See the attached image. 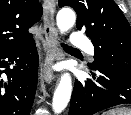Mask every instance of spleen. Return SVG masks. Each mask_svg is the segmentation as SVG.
I'll list each match as a JSON object with an SVG mask.
<instances>
[{
	"label": "spleen",
	"mask_w": 131,
	"mask_h": 115,
	"mask_svg": "<svg viewBox=\"0 0 131 115\" xmlns=\"http://www.w3.org/2000/svg\"><path fill=\"white\" fill-rule=\"evenodd\" d=\"M103 115H131V110L118 108V109L109 110L103 113Z\"/></svg>",
	"instance_id": "spleen-1"
}]
</instances>
